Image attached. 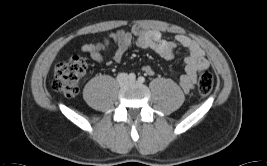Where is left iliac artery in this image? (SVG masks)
I'll list each match as a JSON object with an SVG mask.
<instances>
[{"instance_id":"obj_1","label":"left iliac artery","mask_w":267,"mask_h":166,"mask_svg":"<svg viewBox=\"0 0 267 166\" xmlns=\"http://www.w3.org/2000/svg\"><path fill=\"white\" fill-rule=\"evenodd\" d=\"M138 82H139V83H144V82H145V78L142 77V76H140V77L138 78Z\"/></svg>"}]
</instances>
